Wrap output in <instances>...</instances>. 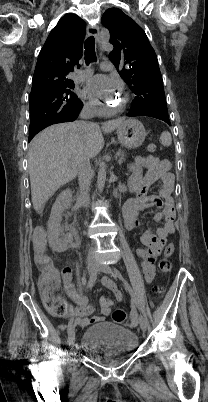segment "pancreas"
<instances>
[{"label":"pancreas","mask_w":208,"mask_h":402,"mask_svg":"<svg viewBox=\"0 0 208 402\" xmlns=\"http://www.w3.org/2000/svg\"><path fill=\"white\" fill-rule=\"evenodd\" d=\"M117 156H121V158H124V156H126V152H123V150H120V152H117Z\"/></svg>","instance_id":"1"}]
</instances>
